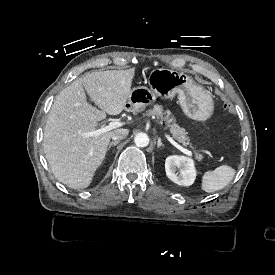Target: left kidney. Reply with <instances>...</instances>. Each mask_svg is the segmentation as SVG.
I'll use <instances>...</instances> for the list:
<instances>
[{
    "label": "left kidney",
    "mask_w": 275,
    "mask_h": 275,
    "mask_svg": "<svg viewBox=\"0 0 275 275\" xmlns=\"http://www.w3.org/2000/svg\"><path fill=\"white\" fill-rule=\"evenodd\" d=\"M165 170L167 177L178 185L189 186L195 178L193 163L186 157H168L165 161Z\"/></svg>",
    "instance_id": "1"
}]
</instances>
